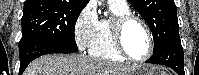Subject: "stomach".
Masks as SVG:
<instances>
[{"label": "stomach", "mask_w": 199, "mask_h": 75, "mask_svg": "<svg viewBox=\"0 0 199 75\" xmlns=\"http://www.w3.org/2000/svg\"><path fill=\"white\" fill-rule=\"evenodd\" d=\"M160 67L142 64L135 67L129 75H167Z\"/></svg>", "instance_id": "stomach-1"}]
</instances>
